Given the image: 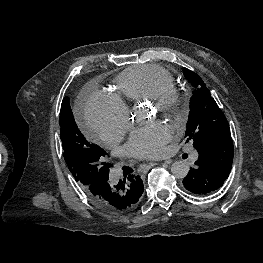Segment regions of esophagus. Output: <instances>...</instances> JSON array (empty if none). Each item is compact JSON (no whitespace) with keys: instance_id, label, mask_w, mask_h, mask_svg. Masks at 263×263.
<instances>
[{"instance_id":"34e87169","label":"esophagus","mask_w":263,"mask_h":263,"mask_svg":"<svg viewBox=\"0 0 263 263\" xmlns=\"http://www.w3.org/2000/svg\"><path fill=\"white\" fill-rule=\"evenodd\" d=\"M167 163H170V161H167ZM157 164H158V162H150V163L147 164V166L148 167H152V166H155Z\"/></svg>"}]
</instances>
